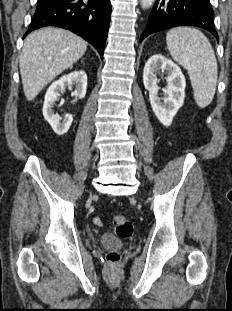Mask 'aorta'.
<instances>
[{
	"mask_svg": "<svg viewBox=\"0 0 232 311\" xmlns=\"http://www.w3.org/2000/svg\"><path fill=\"white\" fill-rule=\"evenodd\" d=\"M155 0H140L141 7L143 9H148L154 3Z\"/></svg>",
	"mask_w": 232,
	"mask_h": 311,
	"instance_id": "obj_1",
	"label": "aorta"
}]
</instances>
